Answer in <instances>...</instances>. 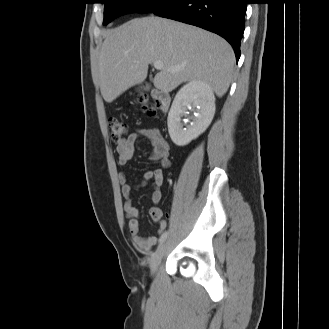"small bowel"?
Here are the masks:
<instances>
[{
	"label": "small bowel",
	"instance_id": "small-bowel-1",
	"mask_svg": "<svg viewBox=\"0 0 329 329\" xmlns=\"http://www.w3.org/2000/svg\"><path fill=\"white\" fill-rule=\"evenodd\" d=\"M142 139H147L151 143V160L162 165V168L145 171L142 176V184L151 182L153 187L151 196L153 206L149 209V215L158 225V234H161L166 228V222L163 219V213L158 204L162 198V187L164 183L163 168L168 167L170 164V148L168 142L157 128H138L128 137L116 143L118 163L121 166L127 165L134 155L136 143ZM119 182L124 200L123 209L128 218V228L132 241L138 251L150 254L158 238L157 236L145 237L139 234V211L131 202L133 191L141 185H133L129 180L128 174L124 172L119 175Z\"/></svg>",
	"mask_w": 329,
	"mask_h": 329
}]
</instances>
